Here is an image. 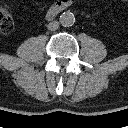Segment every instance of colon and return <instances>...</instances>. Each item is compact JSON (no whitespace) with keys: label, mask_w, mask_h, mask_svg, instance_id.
<instances>
[{"label":"colon","mask_w":128,"mask_h":128,"mask_svg":"<svg viewBox=\"0 0 128 128\" xmlns=\"http://www.w3.org/2000/svg\"><path fill=\"white\" fill-rule=\"evenodd\" d=\"M13 19L6 5L0 3V32L9 33L12 30Z\"/></svg>","instance_id":"1"}]
</instances>
